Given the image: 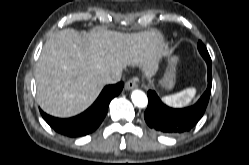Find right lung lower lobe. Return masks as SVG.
Returning a JSON list of instances; mask_svg holds the SVG:
<instances>
[{"instance_id": "right-lung-lower-lobe-1", "label": "right lung lower lobe", "mask_w": 249, "mask_h": 165, "mask_svg": "<svg viewBox=\"0 0 249 165\" xmlns=\"http://www.w3.org/2000/svg\"><path fill=\"white\" fill-rule=\"evenodd\" d=\"M123 82L107 85L97 100L83 113L67 119L52 117L40 109L44 120L56 132L68 137L85 136L95 131L105 118L110 101L123 89Z\"/></svg>"}]
</instances>
